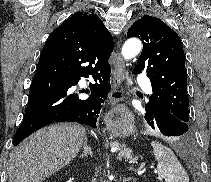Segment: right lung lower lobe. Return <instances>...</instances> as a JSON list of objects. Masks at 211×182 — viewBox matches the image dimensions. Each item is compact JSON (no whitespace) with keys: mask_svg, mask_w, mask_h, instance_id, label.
Returning a JSON list of instances; mask_svg holds the SVG:
<instances>
[{"mask_svg":"<svg viewBox=\"0 0 211 182\" xmlns=\"http://www.w3.org/2000/svg\"><path fill=\"white\" fill-rule=\"evenodd\" d=\"M110 71L108 60L98 51L78 44L67 25L55 29L42 49L24 120L13 145L54 122L73 121L96 128L102 103L110 91ZM89 75L96 84H90L86 92L91 96L81 99L74 86Z\"/></svg>","mask_w":211,"mask_h":182,"instance_id":"1","label":"right lung lower lobe"}]
</instances>
